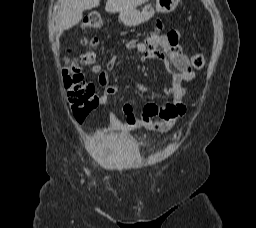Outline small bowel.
<instances>
[{
  "label": "small bowel",
  "mask_w": 256,
  "mask_h": 228,
  "mask_svg": "<svg viewBox=\"0 0 256 228\" xmlns=\"http://www.w3.org/2000/svg\"><path fill=\"white\" fill-rule=\"evenodd\" d=\"M161 30L162 25L157 22L155 28L144 40H128L125 47L128 50L140 53L142 60L157 61L169 71L171 83L164 90V93L171 96L172 101L161 106L149 103L145 105L140 116L133 112V108L129 103H125L122 106L125 120H119L114 113L110 112L109 127L99 135L108 131L127 133L137 129L166 132L171 129L177 119L186 113V105L184 103L186 89L184 84L193 79L194 69L190 62V56L182 53L179 45V34L176 31L161 34ZM117 61V55L111 56L106 64L107 69H113ZM99 83L104 87L100 103L101 105H106L109 98L116 93L117 87L109 83V75L106 71L100 73ZM134 84L142 92L148 90L147 87L139 82L134 81Z\"/></svg>",
  "instance_id": "obj_1"
}]
</instances>
